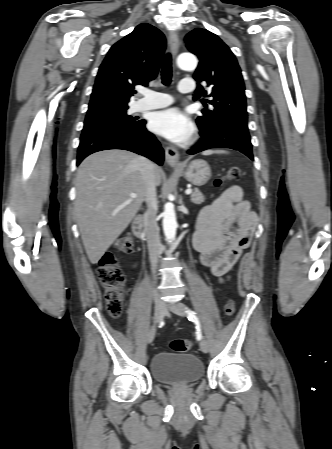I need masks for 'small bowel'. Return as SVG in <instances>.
Here are the masks:
<instances>
[{"label":"small bowel","instance_id":"1","mask_svg":"<svg viewBox=\"0 0 332 449\" xmlns=\"http://www.w3.org/2000/svg\"><path fill=\"white\" fill-rule=\"evenodd\" d=\"M257 219L242 190L231 187L205 206L196 223L194 246L201 263L223 281L251 242Z\"/></svg>","mask_w":332,"mask_h":449}]
</instances>
